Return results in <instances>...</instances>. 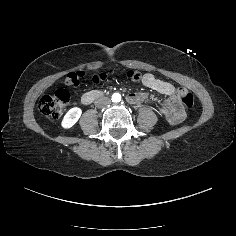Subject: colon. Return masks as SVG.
<instances>
[{"label":"colon","mask_w":236,"mask_h":236,"mask_svg":"<svg viewBox=\"0 0 236 236\" xmlns=\"http://www.w3.org/2000/svg\"><path fill=\"white\" fill-rule=\"evenodd\" d=\"M111 72H104L93 76L92 80L95 84H100L108 79ZM127 77L132 82H139L142 75L137 70H129ZM84 81V74L81 72L69 73L66 77V85L78 86ZM153 81V80H152ZM155 82V81H153ZM177 96L180 102L186 107H192L194 104V96L186 89H178ZM70 99V93L66 89H57L53 94L43 96L38 104L39 110L45 116L58 119L60 118L65 110L66 105Z\"/></svg>","instance_id":"obj_1"}]
</instances>
